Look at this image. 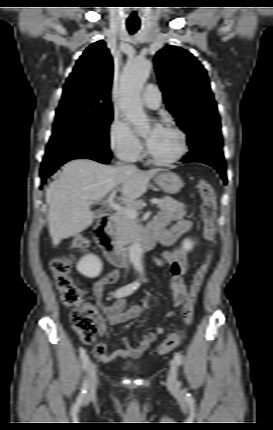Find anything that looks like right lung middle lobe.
Returning a JSON list of instances; mask_svg holds the SVG:
<instances>
[{"label": "right lung middle lobe", "mask_w": 273, "mask_h": 430, "mask_svg": "<svg viewBox=\"0 0 273 430\" xmlns=\"http://www.w3.org/2000/svg\"><path fill=\"white\" fill-rule=\"evenodd\" d=\"M113 111L68 107L57 109L53 134L42 164L82 152H110L108 127Z\"/></svg>", "instance_id": "1"}]
</instances>
